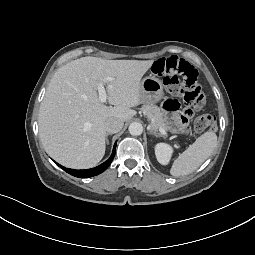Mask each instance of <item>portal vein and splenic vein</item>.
I'll return each mask as SVG.
<instances>
[{
  "label": "portal vein and splenic vein",
  "mask_w": 255,
  "mask_h": 255,
  "mask_svg": "<svg viewBox=\"0 0 255 255\" xmlns=\"http://www.w3.org/2000/svg\"><path fill=\"white\" fill-rule=\"evenodd\" d=\"M111 80H112L111 77L107 78V81H111ZM97 89H98V93H99V100L102 103H105L107 100V93H106V90L104 87V82H99L97 84ZM159 131L162 135H167V132L163 128H159Z\"/></svg>",
  "instance_id": "portal-vein-and-splenic-vein-1"
}]
</instances>
